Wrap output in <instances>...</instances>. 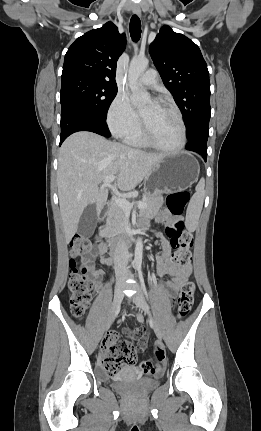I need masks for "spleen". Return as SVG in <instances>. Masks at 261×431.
Returning <instances> with one entry per match:
<instances>
[{
    "mask_svg": "<svg viewBox=\"0 0 261 431\" xmlns=\"http://www.w3.org/2000/svg\"><path fill=\"white\" fill-rule=\"evenodd\" d=\"M205 180L201 178L196 186V192L192 196L188 210L195 216H199L202 210L204 196H205Z\"/></svg>",
    "mask_w": 261,
    "mask_h": 431,
    "instance_id": "1",
    "label": "spleen"
}]
</instances>
